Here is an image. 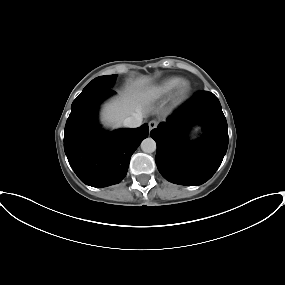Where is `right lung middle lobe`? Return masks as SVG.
<instances>
[{"label": "right lung middle lobe", "mask_w": 285, "mask_h": 285, "mask_svg": "<svg viewBox=\"0 0 285 285\" xmlns=\"http://www.w3.org/2000/svg\"><path fill=\"white\" fill-rule=\"evenodd\" d=\"M117 75H106V76H100L95 79H93L81 92V94L74 100L72 105H74L76 102H78L83 97L94 94L100 91H104L107 89H111V87L115 83Z\"/></svg>", "instance_id": "dd1d6c3e"}]
</instances>
